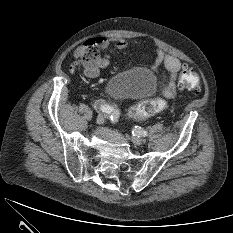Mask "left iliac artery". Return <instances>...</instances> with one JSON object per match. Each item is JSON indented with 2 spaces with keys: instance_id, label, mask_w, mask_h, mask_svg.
Listing matches in <instances>:
<instances>
[{
  "instance_id": "obj_1",
  "label": "left iliac artery",
  "mask_w": 233,
  "mask_h": 233,
  "mask_svg": "<svg viewBox=\"0 0 233 233\" xmlns=\"http://www.w3.org/2000/svg\"><path fill=\"white\" fill-rule=\"evenodd\" d=\"M134 131L136 134H139L141 136H144V137L147 136V132L143 130L141 127L135 126Z\"/></svg>"
}]
</instances>
